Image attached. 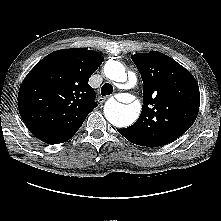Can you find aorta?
Returning <instances> with one entry per match:
<instances>
[{
	"label": "aorta",
	"instance_id": "1",
	"mask_svg": "<svg viewBox=\"0 0 221 221\" xmlns=\"http://www.w3.org/2000/svg\"><path fill=\"white\" fill-rule=\"evenodd\" d=\"M106 77L118 83L128 81L125 67L118 61L109 60L104 66ZM133 80L135 76L133 75ZM141 111L139 102H132L124 105L115 99H109L104 106V114L106 119L117 127H126L136 121Z\"/></svg>",
	"mask_w": 221,
	"mask_h": 221
}]
</instances>
